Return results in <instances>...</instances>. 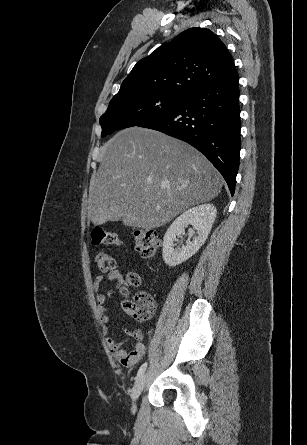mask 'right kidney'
<instances>
[{
    "instance_id": "1",
    "label": "right kidney",
    "mask_w": 307,
    "mask_h": 445,
    "mask_svg": "<svg viewBox=\"0 0 307 445\" xmlns=\"http://www.w3.org/2000/svg\"><path fill=\"white\" fill-rule=\"evenodd\" d=\"M217 208L214 204H199L180 214L171 227L167 229L163 239V259L169 267L181 265L204 245L215 220ZM192 225L196 231L193 241H187L181 249H174L176 237L185 233V227Z\"/></svg>"
}]
</instances>
